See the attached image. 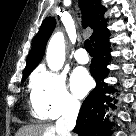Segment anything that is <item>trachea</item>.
<instances>
[{"label": "trachea", "instance_id": "trachea-1", "mask_svg": "<svg viewBox=\"0 0 136 136\" xmlns=\"http://www.w3.org/2000/svg\"><path fill=\"white\" fill-rule=\"evenodd\" d=\"M84 48L86 49V51L90 55H93V48H92V44H91V42H90L89 39L85 40V42H84Z\"/></svg>", "mask_w": 136, "mask_h": 136}]
</instances>
